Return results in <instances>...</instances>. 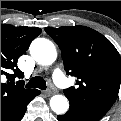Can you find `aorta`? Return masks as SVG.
Returning <instances> with one entry per match:
<instances>
[{
    "mask_svg": "<svg viewBox=\"0 0 121 121\" xmlns=\"http://www.w3.org/2000/svg\"><path fill=\"white\" fill-rule=\"evenodd\" d=\"M30 53L41 65H51L57 58L54 44L45 38L35 39L31 43ZM50 107L56 114H64L69 108V102L63 95H54L50 99Z\"/></svg>",
    "mask_w": 121,
    "mask_h": 121,
    "instance_id": "1",
    "label": "aorta"
}]
</instances>
